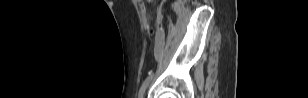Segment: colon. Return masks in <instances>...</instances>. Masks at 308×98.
Segmentation results:
<instances>
[{"label": "colon", "mask_w": 308, "mask_h": 98, "mask_svg": "<svg viewBox=\"0 0 308 98\" xmlns=\"http://www.w3.org/2000/svg\"><path fill=\"white\" fill-rule=\"evenodd\" d=\"M140 14L142 17L143 24L148 33H152V27L150 25V17L147 13V9L143 2H140Z\"/></svg>", "instance_id": "5ec220e1"}]
</instances>
